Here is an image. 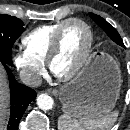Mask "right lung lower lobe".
I'll use <instances>...</instances> for the list:
<instances>
[{"instance_id":"right-lung-lower-lobe-1","label":"right lung lower lobe","mask_w":130,"mask_h":130,"mask_svg":"<svg viewBox=\"0 0 130 130\" xmlns=\"http://www.w3.org/2000/svg\"><path fill=\"white\" fill-rule=\"evenodd\" d=\"M2 64L8 74L11 94V114L7 130H18V125L24 111L26 110L29 103L35 99L37 94L33 89L18 83L14 78L10 66L3 62Z\"/></svg>"}]
</instances>
